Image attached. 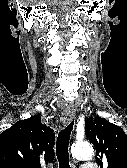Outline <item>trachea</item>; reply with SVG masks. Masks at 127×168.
Here are the masks:
<instances>
[{"label":"trachea","mask_w":127,"mask_h":168,"mask_svg":"<svg viewBox=\"0 0 127 168\" xmlns=\"http://www.w3.org/2000/svg\"><path fill=\"white\" fill-rule=\"evenodd\" d=\"M73 125L74 121L70 122L58 135L56 155L59 162V168H70L68 145Z\"/></svg>","instance_id":"trachea-1"}]
</instances>
